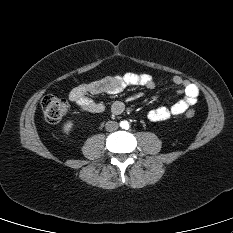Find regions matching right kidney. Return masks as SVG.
<instances>
[{"label": "right kidney", "mask_w": 233, "mask_h": 233, "mask_svg": "<svg viewBox=\"0 0 233 233\" xmlns=\"http://www.w3.org/2000/svg\"><path fill=\"white\" fill-rule=\"evenodd\" d=\"M73 127L72 121H68L67 123L64 124L63 130L65 133H69Z\"/></svg>", "instance_id": "1"}]
</instances>
